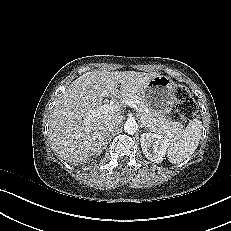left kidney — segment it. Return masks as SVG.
Returning a JSON list of instances; mask_svg holds the SVG:
<instances>
[{"instance_id":"1","label":"left kidney","mask_w":231,"mask_h":231,"mask_svg":"<svg viewBox=\"0 0 231 231\" xmlns=\"http://www.w3.org/2000/svg\"><path fill=\"white\" fill-rule=\"evenodd\" d=\"M141 147L145 157L154 162L160 163L166 152L168 139L154 133H143L140 138Z\"/></svg>"}]
</instances>
